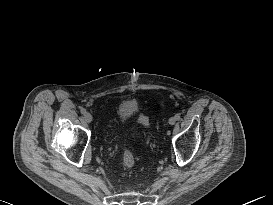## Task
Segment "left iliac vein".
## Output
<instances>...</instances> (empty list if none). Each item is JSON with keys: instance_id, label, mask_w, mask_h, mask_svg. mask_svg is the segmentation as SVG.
I'll list each match as a JSON object with an SVG mask.
<instances>
[{"instance_id": "1", "label": "left iliac vein", "mask_w": 273, "mask_h": 205, "mask_svg": "<svg viewBox=\"0 0 273 205\" xmlns=\"http://www.w3.org/2000/svg\"><path fill=\"white\" fill-rule=\"evenodd\" d=\"M175 122H176V118H175V117H171V118L169 119V124H170V125H174Z\"/></svg>"}]
</instances>
